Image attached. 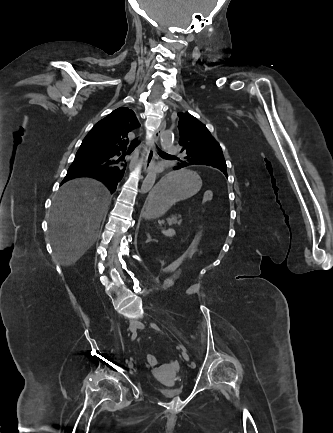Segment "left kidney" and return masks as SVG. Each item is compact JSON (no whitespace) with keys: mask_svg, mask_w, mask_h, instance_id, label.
I'll list each match as a JSON object with an SVG mask.
<instances>
[{"mask_svg":"<svg viewBox=\"0 0 333 433\" xmlns=\"http://www.w3.org/2000/svg\"><path fill=\"white\" fill-rule=\"evenodd\" d=\"M173 233H175V231L174 230H171Z\"/></svg>","mask_w":333,"mask_h":433,"instance_id":"5707ae66","label":"left kidney"}]
</instances>
